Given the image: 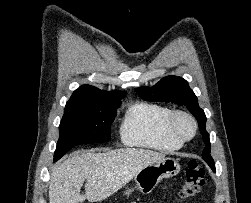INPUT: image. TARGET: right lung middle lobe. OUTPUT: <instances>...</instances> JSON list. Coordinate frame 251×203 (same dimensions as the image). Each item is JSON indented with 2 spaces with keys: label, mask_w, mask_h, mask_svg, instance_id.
I'll use <instances>...</instances> for the list:
<instances>
[{
  "label": "right lung middle lobe",
  "mask_w": 251,
  "mask_h": 203,
  "mask_svg": "<svg viewBox=\"0 0 251 203\" xmlns=\"http://www.w3.org/2000/svg\"><path fill=\"white\" fill-rule=\"evenodd\" d=\"M120 105L121 102L66 105L54 161L76 145L109 141L111 123Z\"/></svg>",
  "instance_id": "obj_1"
}]
</instances>
